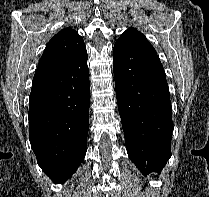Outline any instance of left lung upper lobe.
<instances>
[{
    "label": "left lung upper lobe",
    "mask_w": 209,
    "mask_h": 197,
    "mask_svg": "<svg viewBox=\"0 0 209 197\" xmlns=\"http://www.w3.org/2000/svg\"><path fill=\"white\" fill-rule=\"evenodd\" d=\"M116 43L130 44L156 52V50L148 42L146 37L134 28H129L123 34H121L120 38L117 40Z\"/></svg>",
    "instance_id": "5c2ea615"
}]
</instances>
